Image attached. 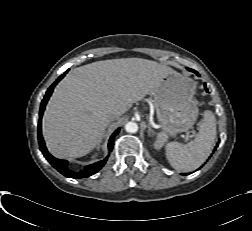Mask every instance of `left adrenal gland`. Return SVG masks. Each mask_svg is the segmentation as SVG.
<instances>
[{"label": "left adrenal gland", "mask_w": 252, "mask_h": 231, "mask_svg": "<svg viewBox=\"0 0 252 231\" xmlns=\"http://www.w3.org/2000/svg\"><path fill=\"white\" fill-rule=\"evenodd\" d=\"M152 132H153V130L151 128V125H150V123H148V135L151 136Z\"/></svg>", "instance_id": "left-adrenal-gland-1"}]
</instances>
